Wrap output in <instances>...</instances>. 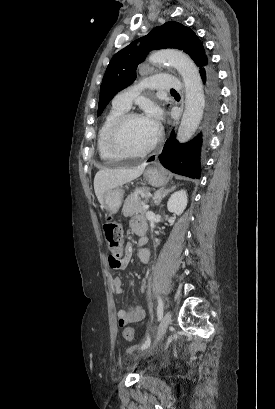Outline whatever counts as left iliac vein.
I'll return each instance as SVG.
<instances>
[{
  "label": "left iliac vein",
  "instance_id": "4c4485c4",
  "mask_svg": "<svg viewBox=\"0 0 275 409\" xmlns=\"http://www.w3.org/2000/svg\"><path fill=\"white\" fill-rule=\"evenodd\" d=\"M170 322H171V312L167 311L165 315L163 316L160 324L156 328V337L153 343V347L156 346L158 342L163 338L164 334L167 331L168 326L170 325Z\"/></svg>",
  "mask_w": 275,
  "mask_h": 409
}]
</instances>
